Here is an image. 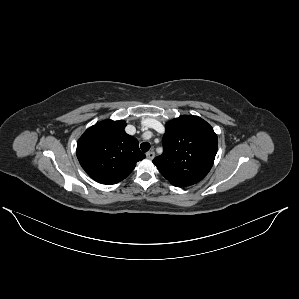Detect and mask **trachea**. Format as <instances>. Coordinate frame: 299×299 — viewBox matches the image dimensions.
I'll use <instances>...</instances> for the list:
<instances>
[{
	"mask_svg": "<svg viewBox=\"0 0 299 299\" xmlns=\"http://www.w3.org/2000/svg\"><path fill=\"white\" fill-rule=\"evenodd\" d=\"M140 148L143 152H147L150 149V144L147 142H143L141 143Z\"/></svg>",
	"mask_w": 299,
	"mask_h": 299,
	"instance_id": "1",
	"label": "trachea"
}]
</instances>
